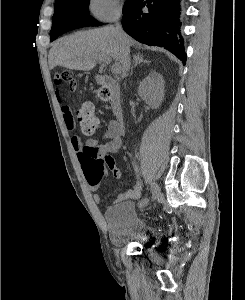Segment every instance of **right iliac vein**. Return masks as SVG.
I'll return each mask as SVG.
<instances>
[{
    "instance_id": "obj_1",
    "label": "right iliac vein",
    "mask_w": 245,
    "mask_h": 300,
    "mask_svg": "<svg viewBox=\"0 0 245 300\" xmlns=\"http://www.w3.org/2000/svg\"><path fill=\"white\" fill-rule=\"evenodd\" d=\"M152 188V199H155V198H157L158 196H159V194H160V189H159V187L156 185V186H153V187H151ZM148 205V204H147ZM147 205H140L139 204V207L140 208H144L145 206H147Z\"/></svg>"
}]
</instances>
